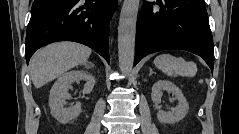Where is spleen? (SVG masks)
Masks as SVG:
<instances>
[{"label":"spleen","instance_id":"spleen-1","mask_svg":"<svg viewBox=\"0 0 239 134\" xmlns=\"http://www.w3.org/2000/svg\"><path fill=\"white\" fill-rule=\"evenodd\" d=\"M155 65L168 76L194 77L197 66L194 62H187L181 57L164 53L155 58Z\"/></svg>","mask_w":239,"mask_h":134}]
</instances>
